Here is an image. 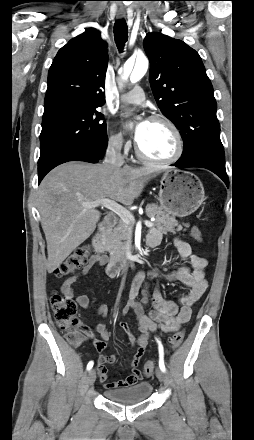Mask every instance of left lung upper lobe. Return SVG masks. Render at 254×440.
Listing matches in <instances>:
<instances>
[{"instance_id":"obj_1","label":"left lung upper lobe","mask_w":254,"mask_h":440,"mask_svg":"<svg viewBox=\"0 0 254 440\" xmlns=\"http://www.w3.org/2000/svg\"><path fill=\"white\" fill-rule=\"evenodd\" d=\"M143 47L158 107L183 138L181 158L206 149L223 151L213 87L199 54L183 41L160 33L147 34Z\"/></svg>"}]
</instances>
